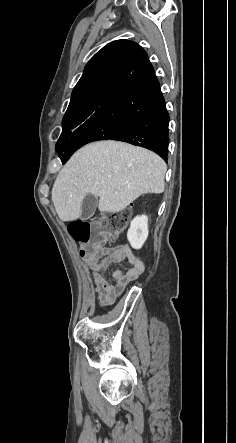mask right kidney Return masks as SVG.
Segmentation results:
<instances>
[{"label": "right kidney", "mask_w": 236, "mask_h": 443, "mask_svg": "<svg viewBox=\"0 0 236 443\" xmlns=\"http://www.w3.org/2000/svg\"><path fill=\"white\" fill-rule=\"evenodd\" d=\"M148 217L146 215L136 216L130 224L127 233L128 241L134 249H140L148 237Z\"/></svg>", "instance_id": "obj_1"}]
</instances>
